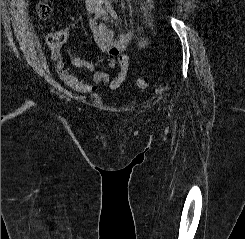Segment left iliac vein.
Segmentation results:
<instances>
[{
	"mask_svg": "<svg viewBox=\"0 0 245 239\" xmlns=\"http://www.w3.org/2000/svg\"><path fill=\"white\" fill-rule=\"evenodd\" d=\"M96 13L99 14V17H101L104 21H107L109 18L108 13L102 5L97 6Z\"/></svg>",
	"mask_w": 245,
	"mask_h": 239,
	"instance_id": "left-iliac-vein-1",
	"label": "left iliac vein"
}]
</instances>
